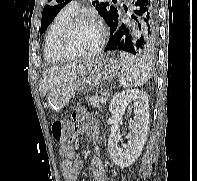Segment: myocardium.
<instances>
[{
  "mask_svg": "<svg viewBox=\"0 0 197 181\" xmlns=\"http://www.w3.org/2000/svg\"><path fill=\"white\" fill-rule=\"evenodd\" d=\"M93 23L98 29V41L96 46L89 52L80 54H70L66 51L64 42L69 32L80 23ZM105 43V30L102 25L93 17L88 15H78L72 17L61 29L56 40V50L60 57L65 61L81 60L92 58L97 55L103 48Z\"/></svg>",
  "mask_w": 197,
  "mask_h": 181,
  "instance_id": "myocardium-1",
  "label": "myocardium"
}]
</instances>
